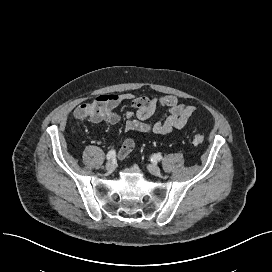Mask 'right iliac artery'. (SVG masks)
<instances>
[{"label": "right iliac artery", "instance_id": "obj_1", "mask_svg": "<svg viewBox=\"0 0 272 272\" xmlns=\"http://www.w3.org/2000/svg\"><path fill=\"white\" fill-rule=\"evenodd\" d=\"M115 156H116L115 150H110L106 155V159L107 160H112V159L115 158Z\"/></svg>", "mask_w": 272, "mask_h": 272}]
</instances>
